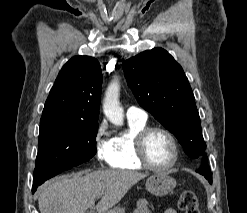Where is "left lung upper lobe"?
Here are the masks:
<instances>
[{
	"label": "left lung upper lobe",
	"mask_w": 247,
	"mask_h": 213,
	"mask_svg": "<svg viewBox=\"0 0 247 213\" xmlns=\"http://www.w3.org/2000/svg\"><path fill=\"white\" fill-rule=\"evenodd\" d=\"M138 103L182 144L192 158L205 153L195 98L182 67L162 48L144 51L123 63Z\"/></svg>",
	"instance_id": "obj_1"
}]
</instances>
